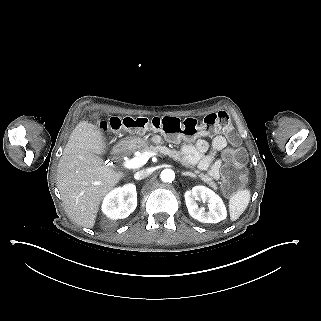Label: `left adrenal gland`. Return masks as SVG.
<instances>
[{
	"mask_svg": "<svg viewBox=\"0 0 321 321\" xmlns=\"http://www.w3.org/2000/svg\"><path fill=\"white\" fill-rule=\"evenodd\" d=\"M181 175H182V176H190V177H192V178H196V176H195L193 173L187 172V171L182 172Z\"/></svg>",
	"mask_w": 321,
	"mask_h": 321,
	"instance_id": "left-adrenal-gland-1",
	"label": "left adrenal gland"
}]
</instances>
